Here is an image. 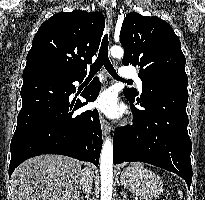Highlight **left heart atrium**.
<instances>
[{"instance_id":"39dd6f15","label":"left heart atrium","mask_w":205,"mask_h":200,"mask_svg":"<svg viewBox=\"0 0 205 200\" xmlns=\"http://www.w3.org/2000/svg\"><path fill=\"white\" fill-rule=\"evenodd\" d=\"M95 107L111 117H119L123 113V107L119 105L117 95L112 89L105 90L98 96Z\"/></svg>"}]
</instances>
